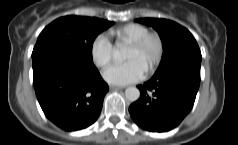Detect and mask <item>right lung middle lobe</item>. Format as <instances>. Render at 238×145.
Wrapping results in <instances>:
<instances>
[{
  "label": "right lung middle lobe",
  "instance_id": "right-lung-middle-lobe-1",
  "mask_svg": "<svg viewBox=\"0 0 238 145\" xmlns=\"http://www.w3.org/2000/svg\"><path fill=\"white\" fill-rule=\"evenodd\" d=\"M113 24L95 17L69 15L58 18L40 33L32 58L50 52H65L92 64L95 38Z\"/></svg>",
  "mask_w": 238,
  "mask_h": 145
}]
</instances>
